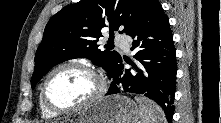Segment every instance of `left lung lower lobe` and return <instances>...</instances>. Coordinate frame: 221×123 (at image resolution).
I'll list each match as a JSON object with an SVG mask.
<instances>
[{
    "label": "left lung lower lobe",
    "mask_w": 221,
    "mask_h": 123,
    "mask_svg": "<svg viewBox=\"0 0 221 123\" xmlns=\"http://www.w3.org/2000/svg\"><path fill=\"white\" fill-rule=\"evenodd\" d=\"M134 39L131 50L137 63L128 62L125 69L120 58L110 77L113 79L106 95L130 92L142 94L157 102L168 121L174 114L176 88V52L167 16L155 0L137 26L128 34Z\"/></svg>",
    "instance_id": "0a47b994"
}]
</instances>
